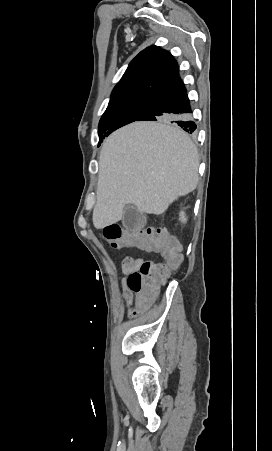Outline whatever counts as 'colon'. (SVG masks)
I'll use <instances>...</instances> for the list:
<instances>
[{
	"instance_id": "5ec220e1",
	"label": "colon",
	"mask_w": 272,
	"mask_h": 451,
	"mask_svg": "<svg viewBox=\"0 0 272 451\" xmlns=\"http://www.w3.org/2000/svg\"><path fill=\"white\" fill-rule=\"evenodd\" d=\"M101 237L109 242L112 248L119 250L148 249L149 256H162L165 262L161 264L142 258L134 259L126 256L123 266L132 271L127 280V289H137V303H154L158 294L156 289H162V283L167 282L174 268L178 265L176 257L181 258V245L166 230H126L117 223L105 225L101 229ZM121 263L119 260L116 262ZM134 312L131 315L134 316Z\"/></svg>"
}]
</instances>
